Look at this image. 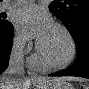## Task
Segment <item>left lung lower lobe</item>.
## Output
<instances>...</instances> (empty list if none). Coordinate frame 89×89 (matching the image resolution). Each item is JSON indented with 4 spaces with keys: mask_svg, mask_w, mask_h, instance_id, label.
<instances>
[{
    "mask_svg": "<svg viewBox=\"0 0 89 89\" xmlns=\"http://www.w3.org/2000/svg\"><path fill=\"white\" fill-rule=\"evenodd\" d=\"M74 41L77 57L73 65L50 76H79L89 79V29L81 30Z\"/></svg>",
    "mask_w": 89,
    "mask_h": 89,
    "instance_id": "1",
    "label": "left lung lower lobe"
}]
</instances>
